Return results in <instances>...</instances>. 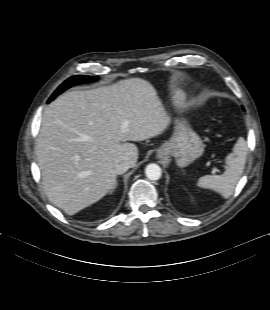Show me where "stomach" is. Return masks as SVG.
<instances>
[{
    "label": "stomach",
    "mask_w": 270,
    "mask_h": 310,
    "mask_svg": "<svg viewBox=\"0 0 270 310\" xmlns=\"http://www.w3.org/2000/svg\"><path fill=\"white\" fill-rule=\"evenodd\" d=\"M204 143L187 120H175L172 137L158 149V157H174L179 167H186L204 153Z\"/></svg>",
    "instance_id": "0dacf381"
}]
</instances>
